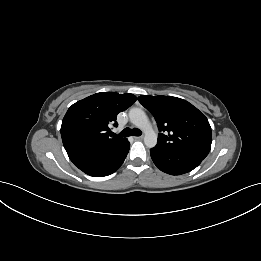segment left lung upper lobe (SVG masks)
Listing matches in <instances>:
<instances>
[{"instance_id":"obj_1","label":"left lung upper lobe","mask_w":261,"mask_h":261,"mask_svg":"<svg viewBox=\"0 0 261 261\" xmlns=\"http://www.w3.org/2000/svg\"><path fill=\"white\" fill-rule=\"evenodd\" d=\"M156 119L157 146L204 159L211 148L212 132L207 118L192 104L172 96L138 97Z\"/></svg>"}]
</instances>
